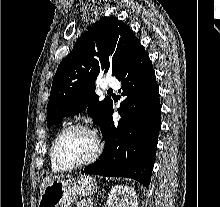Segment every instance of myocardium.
Returning <instances> with one entry per match:
<instances>
[{
  "mask_svg": "<svg viewBox=\"0 0 220 207\" xmlns=\"http://www.w3.org/2000/svg\"><path fill=\"white\" fill-rule=\"evenodd\" d=\"M72 130H82V131H85L88 134H90L92 136V138L94 139L95 149H94L93 153L91 154V156L88 157L87 159H85L81 162H78V163H74V164H65L60 160V158L58 156L57 146H58V142H59L60 138L65 133L72 131ZM102 150H103V143H102V140L100 139V137L98 136V134L95 131H93L90 127H88L87 125L81 124V123H74V124H70V125L64 127L56 135V137L52 143V147H51L52 157H53L54 162L63 170H71V169L81 168V167H84L86 165L93 163L100 156Z\"/></svg>",
  "mask_w": 220,
  "mask_h": 207,
  "instance_id": "obj_1",
  "label": "myocardium"
}]
</instances>
